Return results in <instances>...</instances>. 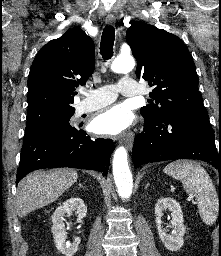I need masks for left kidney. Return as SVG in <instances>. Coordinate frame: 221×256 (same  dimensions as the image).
Returning <instances> with one entry per match:
<instances>
[{
  "mask_svg": "<svg viewBox=\"0 0 221 256\" xmlns=\"http://www.w3.org/2000/svg\"><path fill=\"white\" fill-rule=\"evenodd\" d=\"M166 209L171 211V227L173 228L171 234H167L166 230H163L161 227V217L163 215V211ZM155 216L158 234L166 249L170 251L179 250L184 244L183 236L185 234L183 213L179 203L169 197L160 198L155 205Z\"/></svg>",
  "mask_w": 221,
  "mask_h": 256,
  "instance_id": "5707ae66",
  "label": "left kidney"
}]
</instances>
